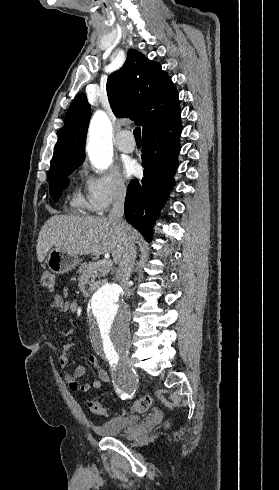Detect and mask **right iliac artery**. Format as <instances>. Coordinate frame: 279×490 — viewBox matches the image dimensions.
Instances as JSON below:
<instances>
[{
  "mask_svg": "<svg viewBox=\"0 0 279 490\" xmlns=\"http://www.w3.org/2000/svg\"><path fill=\"white\" fill-rule=\"evenodd\" d=\"M106 358H107L108 361H110V363L113 366H116L119 363V360H118L119 355H118L117 352H108L107 355H106ZM118 384H119V386H118L119 392L122 395H124L125 397H128L129 396V393H128V389H127V386H126L127 381L124 378H121L118 381ZM120 393L118 394L119 396L121 395ZM123 400L124 401L125 400L127 401L128 399L127 398L126 399L124 398Z\"/></svg>",
  "mask_w": 279,
  "mask_h": 490,
  "instance_id": "obj_1",
  "label": "right iliac artery"
}]
</instances>
